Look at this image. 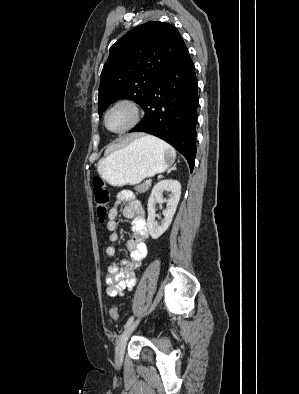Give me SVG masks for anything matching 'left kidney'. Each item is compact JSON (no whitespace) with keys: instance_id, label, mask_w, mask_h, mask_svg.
<instances>
[{"instance_id":"left-kidney-1","label":"left kidney","mask_w":299,"mask_h":394,"mask_svg":"<svg viewBox=\"0 0 299 394\" xmlns=\"http://www.w3.org/2000/svg\"><path fill=\"white\" fill-rule=\"evenodd\" d=\"M169 192V199L163 198V192ZM181 195V184L176 180H162L152 189L148 199V218L147 227L153 239H158L170 226L172 218L176 212ZM167 202V208L163 211L164 219L161 224L155 221L157 203Z\"/></svg>"}]
</instances>
